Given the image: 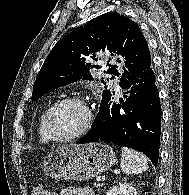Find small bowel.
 Listing matches in <instances>:
<instances>
[{"mask_svg": "<svg viewBox=\"0 0 189 195\" xmlns=\"http://www.w3.org/2000/svg\"><path fill=\"white\" fill-rule=\"evenodd\" d=\"M61 195H95V194L90 187H83V188L68 187L61 192Z\"/></svg>", "mask_w": 189, "mask_h": 195, "instance_id": "1", "label": "small bowel"}]
</instances>
